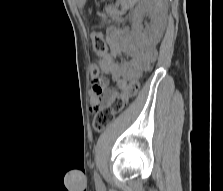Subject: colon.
Here are the masks:
<instances>
[{
  "label": "colon",
  "instance_id": "5ec220e1",
  "mask_svg": "<svg viewBox=\"0 0 223 191\" xmlns=\"http://www.w3.org/2000/svg\"><path fill=\"white\" fill-rule=\"evenodd\" d=\"M94 50L99 58L104 57L107 53V44L102 32H94L92 35ZM91 78H100V62H91ZM138 82L133 81L127 86L120 95L111 99L109 104L98 109L94 115L93 125L98 131L104 130L115 117L123 111L127 102L133 97L138 89Z\"/></svg>",
  "mask_w": 223,
  "mask_h": 191
}]
</instances>
